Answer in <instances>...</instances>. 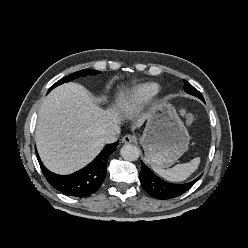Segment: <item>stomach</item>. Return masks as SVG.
I'll use <instances>...</instances> for the list:
<instances>
[{"instance_id":"obj_1","label":"stomach","mask_w":248,"mask_h":248,"mask_svg":"<svg viewBox=\"0 0 248 248\" xmlns=\"http://www.w3.org/2000/svg\"><path fill=\"white\" fill-rule=\"evenodd\" d=\"M147 124L140 139L149 164L172 166L187 150L190 136L175 108L166 100L154 103L147 112Z\"/></svg>"}]
</instances>
